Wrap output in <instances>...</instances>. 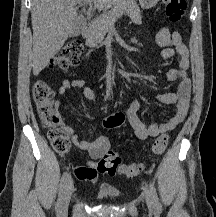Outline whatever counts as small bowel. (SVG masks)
<instances>
[{"mask_svg": "<svg viewBox=\"0 0 216 217\" xmlns=\"http://www.w3.org/2000/svg\"><path fill=\"white\" fill-rule=\"evenodd\" d=\"M158 23L161 27L156 34V42L163 47L161 57L163 59L176 58L178 61L177 68H172L167 71L166 80L168 82H174L180 79V83L175 93L166 92L157 95L159 102L176 105L174 114L164 123L158 124L153 122L146 125L138 115L140 106L139 100L135 99L131 102L127 110V117L135 135L141 140L157 137L162 133L175 129L181 124L187 116L191 97V81L187 76V71L190 66L189 51L184 45L182 36L179 32L171 31L163 20H159ZM73 88H80L84 97L87 99L95 100L98 98L95 90L86 86L82 79L63 81L58 87V93L60 95H65ZM55 106L57 109H60V101H55ZM64 131L71 139L74 146L86 151L90 157L84 166L75 169V176L81 181L95 182L97 180V166L99 159L110 149V138L101 136L92 142H88L81 140L77 132L70 126H66ZM103 186L107 187V184L103 183Z\"/></svg>", "mask_w": 216, "mask_h": 217, "instance_id": "1", "label": "small bowel"}]
</instances>
